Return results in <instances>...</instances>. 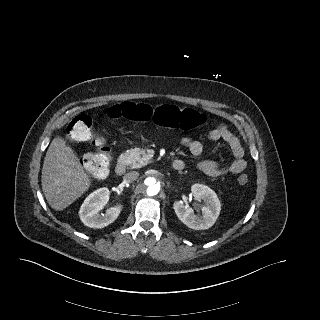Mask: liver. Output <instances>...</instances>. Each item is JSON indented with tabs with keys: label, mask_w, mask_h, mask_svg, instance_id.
Masks as SVG:
<instances>
[{
	"label": "liver",
	"mask_w": 320,
	"mask_h": 320,
	"mask_svg": "<svg viewBox=\"0 0 320 320\" xmlns=\"http://www.w3.org/2000/svg\"><path fill=\"white\" fill-rule=\"evenodd\" d=\"M42 190L49 205L61 211L72 204L90 187L78 157L62 138L52 140L44 158Z\"/></svg>",
	"instance_id": "obj_1"
}]
</instances>
